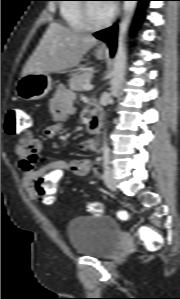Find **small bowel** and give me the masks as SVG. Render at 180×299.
Wrapping results in <instances>:
<instances>
[{"mask_svg":"<svg viewBox=\"0 0 180 299\" xmlns=\"http://www.w3.org/2000/svg\"><path fill=\"white\" fill-rule=\"evenodd\" d=\"M47 112L50 122L43 133L46 138H54L62 130L63 122L75 113L73 94L66 88L59 87L47 106ZM42 148L41 140L34 138L28 130L22 131L16 145V155L22 171L23 189L29 198L37 196V187L40 183L57 182L68 175L81 177L91 170V161L87 158L73 161L54 160L40 166L39 162L43 160ZM80 148L83 151H94L95 142L90 138L85 139L81 142Z\"/></svg>","mask_w":180,"mask_h":299,"instance_id":"c3829d8e","label":"small bowel"}]
</instances>
